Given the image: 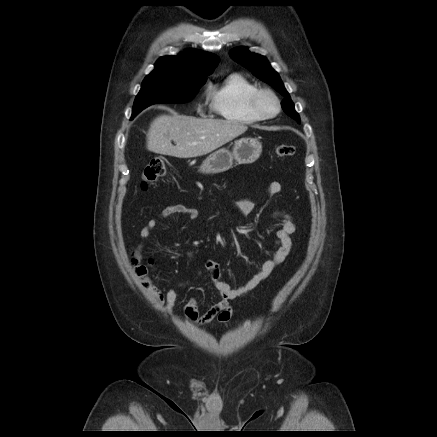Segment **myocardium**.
I'll return each instance as SVG.
<instances>
[{"label":"myocardium","instance_id":"obj_1","mask_svg":"<svg viewBox=\"0 0 437 437\" xmlns=\"http://www.w3.org/2000/svg\"><path fill=\"white\" fill-rule=\"evenodd\" d=\"M265 96L271 97L276 104V110L272 114L266 113L261 107V100ZM250 108L252 112L261 120L272 119L280 113L281 102L277 94L271 89H258L250 98Z\"/></svg>","mask_w":437,"mask_h":437}]
</instances>
